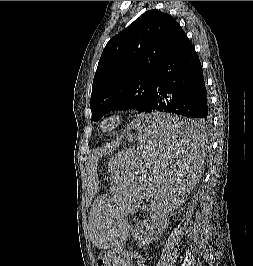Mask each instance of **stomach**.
<instances>
[{"instance_id": "1", "label": "stomach", "mask_w": 253, "mask_h": 266, "mask_svg": "<svg viewBox=\"0 0 253 266\" xmlns=\"http://www.w3.org/2000/svg\"><path fill=\"white\" fill-rule=\"evenodd\" d=\"M132 150H134V148H130V149H128L126 152H124V153H132ZM99 247H101V248H104V246H99Z\"/></svg>"}]
</instances>
